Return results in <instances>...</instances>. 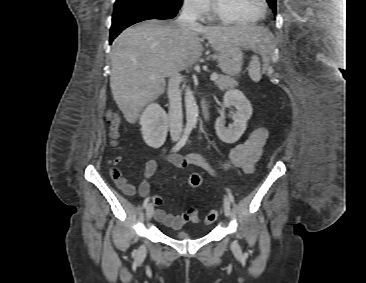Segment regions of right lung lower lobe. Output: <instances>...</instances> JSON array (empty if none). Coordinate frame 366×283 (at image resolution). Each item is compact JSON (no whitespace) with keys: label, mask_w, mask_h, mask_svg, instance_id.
<instances>
[{"label":"right lung lower lobe","mask_w":366,"mask_h":283,"mask_svg":"<svg viewBox=\"0 0 366 283\" xmlns=\"http://www.w3.org/2000/svg\"><path fill=\"white\" fill-rule=\"evenodd\" d=\"M178 9H168L155 0H116L112 16L110 43L125 28L149 19H171Z\"/></svg>","instance_id":"obj_1"}]
</instances>
